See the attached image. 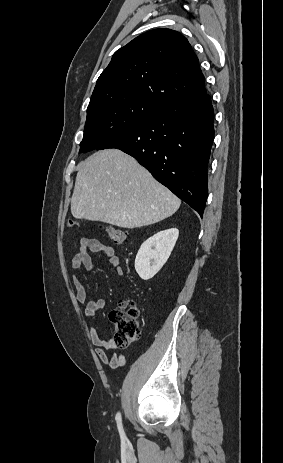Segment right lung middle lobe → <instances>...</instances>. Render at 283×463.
<instances>
[{
	"label": "right lung middle lobe",
	"mask_w": 283,
	"mask_h": 463,
	"mask_svg": "<svg viewBox=\"0 0 283 463\" xmlns=\"http://www.w3.org/2000/svg\"><path fill=\"white\" fill-rule=\"evenodd\" d=\"M160 106L124 91H114L90 100L80 152L97 149L128 128L142 122Z\"/></svg>",
	"instance_id": "obj_1"
}]
</instances>
